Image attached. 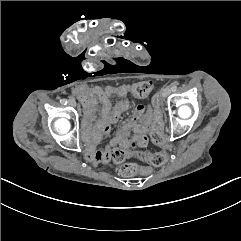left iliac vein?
I'll return each mask as SVG.
<instances>
[{
  "label": "left iliac vein",
  "instance_id": "4c4485c4",
  "mask_svg": "<svg viewBox=\"0 0 241 241\" xmlns=\"http://www.w3.org/2000/svg\"><path fill=\"white\" fill-rule=\"evenodd\" d=\"M170 88L169 87H165L164 89H163V92H162V98L163 99H165V98H167L168 96H169V94H170Z\"/></svg>",
  "mask_w": 241,
  "mask_h": 241
}]
</instances>
